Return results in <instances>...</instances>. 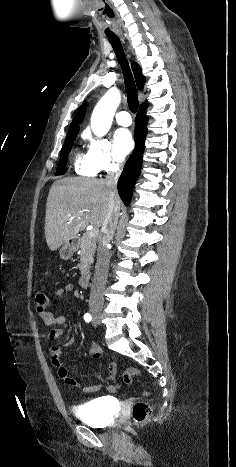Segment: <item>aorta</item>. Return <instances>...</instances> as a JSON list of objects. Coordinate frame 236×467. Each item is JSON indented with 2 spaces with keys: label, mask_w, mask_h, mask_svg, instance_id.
Here are the masks:
<instances>
[{
  "label": "aorta",
  "mask_w": 236,
  "mask_h": 467,
  "mask_svg": "<svg viewBox=\"0 0 236 467\" xmlns=\"http://www.w3.org/2000/svg\"><path fill=\"white\" fill-rule=\"evenodd\" d=\"M120 101V92L109 89L97 103L91 116V129L96 136L102 137L108 133Z\"/></svg>",
  "instance_id": "obj_1"
}]
</instances>
